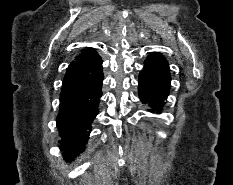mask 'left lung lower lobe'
Here are the masks:
<instances>
[{
	"instance_id": "0a47b994",
	"label": "left lung lower lobe",
	"mask_w": 233,
	"mask_h": 185,
	"mask_svg": "<svg viewBox=\"0 0 233 185\" xmlns=\"http://www.w3.org/2000/svg\"><path fill=\"white\" fill-rule=\"evenodd\" d=\"M168 62L160 53H151L145 60V67L139 75V97L155 109H161L170 89Z\"/></svg>"
}]
</instances>
